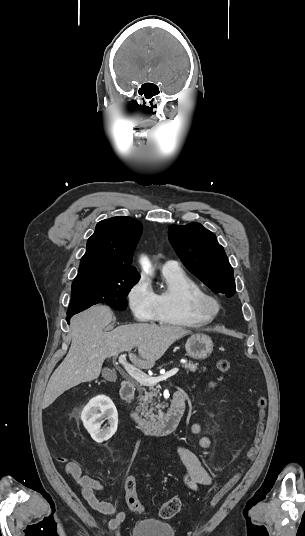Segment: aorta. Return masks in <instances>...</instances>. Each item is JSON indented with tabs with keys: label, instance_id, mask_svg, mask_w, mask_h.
I'll return each mask as SVG.
<instances>
[{
	"label": "aorta",
	"instance_id": "obj_1",
	"mask_svg": "<svg viewBox=\"0 0 305 536\" xmlns=\"http://www.w3.org/2000/svg\"><path fill=\"white\" fill-rule=\"evenodd\" d=\"M141 265H142L143 270L146 273L149 274L151 272V264H150V262H149V260L147 258H143L141 260Z\"/></svg>",
	"mask_w": 305,
	"mask_h": 536
}]
</instances>
